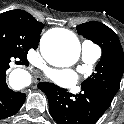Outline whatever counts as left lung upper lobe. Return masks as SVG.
<instances>
[{"label": "left lung upper lobe", "instance_id": "obj_1", "mask_svg": "<svg viewBox=\"0 0 124 124\" xmlns=\"http://www.w3.org/2000/svg\"><path fill=\"white\" fill-rule=\"evenodd\" d=\"M77 31L86 39L102 48V56L95 72L82 82V90L96 93L112 102L124 72V55L118 36L100 22H87L77 26Z\"/></svg>", "mask_w": 124, "mask_h": 124}]
</instances>
